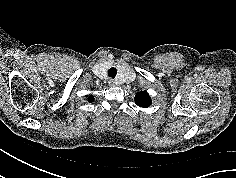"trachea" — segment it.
I'll return each mask as SVG.
<instances>
[{
  "mask_svg": "<svg viewBox=\"0 0 236 178\" xmlns=\"http://www.w3.org/2000/svg\"><path fill=\"white\" fill-rule=\"evenodd\" d=\"M116 74H117L116 68L111 67V68L108 70V76H109V77L115 78Z\"/></svg>",
  "mask_w": 236,
  "mask_h": 178,
  "instance_id": "obj_1",
  "label": "trachea"
}]
</instances>
